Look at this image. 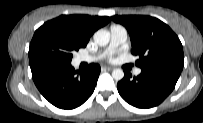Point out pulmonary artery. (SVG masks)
Masks as SVG:
<instances>
[{"instance_id":"1","label":"pulmonary artery","mask_w":203,"mask_h":123,"mask_svg":"<svg viewBox=\"0 0 203 123\" xmlns=\"http://www.w3.org/2000/svg\"><path fill=\"white\" fill-rule=\"evenodd\" d=\"M111 33V41L108 48L101 53L94 55H81L78 57L79 62H93L101 59L105 54L111 52L121 44H123L127 39V31L122 25H112L110 28ZM141 73V69L137 68L134 71L135 75H139Z\"/></svg>"}]
</instances>
